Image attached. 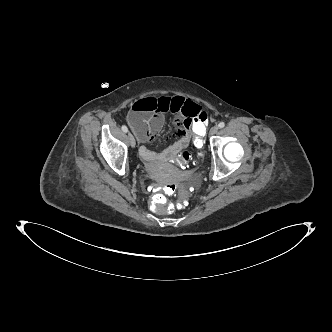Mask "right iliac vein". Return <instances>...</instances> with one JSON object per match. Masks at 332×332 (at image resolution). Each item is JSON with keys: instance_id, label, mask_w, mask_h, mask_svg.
<instances>
[{"instance_id": "63e3f726", "label": "right iliac vein", "mask_w": 332, "mask_h": 332, "mask_svg": "<svg viewBox=\"0 0 332 332\" xmlns=\"http://www.w3.org/2000/svg\"><path fill=\"white\" fill-rule=\"evenodd\" d=\"M127 137H128V140H129V144H130V146H131L132 148H134L135 145H136V141H135L134 136L129 132Z\"/></svg>"}]
</instances>
